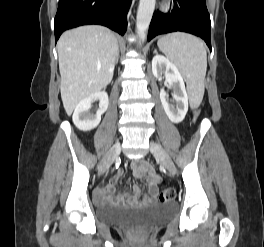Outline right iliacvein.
I'll return each instance as SVG.
<instances>
[{
	"mask_svg": "<svg viewBox=\"0 0 264 247\" xmlns=\"http://www.w3.org/2000/svg\"><path fill=\"white\" fill-rule=\"evenodd\" d=\"M120 151H121V145L119 143L113 145V147L107 153V155L105 156L99 167L100 173H104L109 169L113 161L118 157Z\"/></svg>",
	"mask_w": 264,
	"mask_h": 247,
	"instance_id": "63e3f726",
	"label": "right iliac vein"
}]
</instances>
